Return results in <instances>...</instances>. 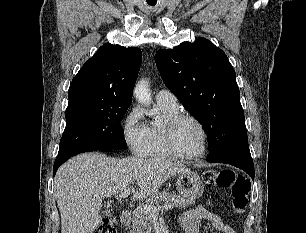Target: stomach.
<instances>
[{"label":"stomach","instance_id":"stomach-1","mask_svg":"<svg viewBox=\"0 0 306 233\" xmlns=\"http://www.w3.org/2000/svg\"><path fill=\"white\" fill-rule=\"evenodd\" d=\"M176 186L178 192L188 199H196L202 196L204 187L197 172L187 170L177 176Z\"/></svg>","mask_w":306,"mask_h":233}]
</instances>
